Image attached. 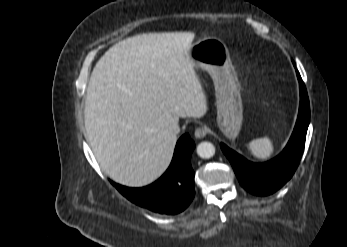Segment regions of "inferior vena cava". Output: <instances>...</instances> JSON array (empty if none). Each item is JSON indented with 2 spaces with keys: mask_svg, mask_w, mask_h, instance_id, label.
<instances>
[{
  "mask_svg": "<svg viewBox=\"0 0 347 247\" xmlns=\"http://www.w3.org/2000/svg\"><path fill=\"white\" fill-rule=\"evenodd\" d=\"M169 131H170L172 134L176 135V134H178V133L180 132V128H179V126H178L177 124H173V125H171V126L169 127Z\"/></svg>",
  "mask_w": 347,
  "mask_h": 247,
  "instance_id": "1",
  "label": "inferior vena cava"
}]
</instances>
